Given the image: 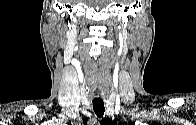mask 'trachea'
I'll list each match as a JSON object with an SVG mask.
<instances>
[{"label":"trachea","mask_w":196,"mask_h":125,"mask_svg":"<svg viewBox=\"0 0 196 125\" xmlns=\"http://www.w3.org/2000/svg\"><path fill=\"white\" fill-rule=\"evenodd\" d=\"M93 109L95 114L98 117H102L104 115L105 107L104 102L101 99H94L93 100Z\"/></svg>","instance_id":"3493384b"}]
</instances>
